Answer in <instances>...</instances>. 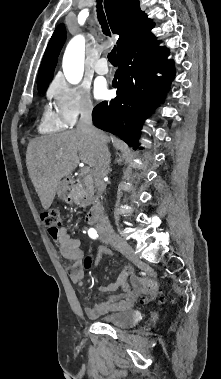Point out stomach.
Returning <instances> with one entry per match:
<instances>
[{
  "label": "stomach",
  "instance_id": "1",
  "mask_svg": "<svg viewBox=\"0 0 221 379\" xmlns=\"http://www.w3.org/2000/svg\"><path fill=\"white\" fill-rule=\"evenodd\" d=\"M69 191H70V188L67 181L66 180L61 181V183L58 185V190H57L59 197H61L62 199H68L70 196Z\"/></svg>",
  "mask_w": 221,
  "mask_h": 379
}]
</instances>
